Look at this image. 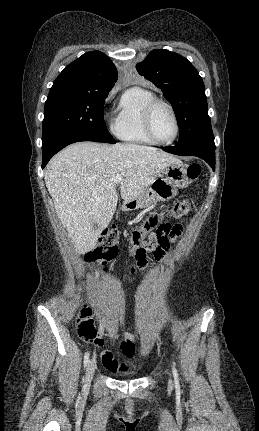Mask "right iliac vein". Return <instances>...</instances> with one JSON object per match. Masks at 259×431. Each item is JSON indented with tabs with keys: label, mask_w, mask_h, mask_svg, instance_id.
Returning a JSON list of instances; mask_svg holds the SVG:
<instances>
[{
	"label": "right iliac vein",
	"mask_w": 259,
	"mask_h": 431,
	"mask_svg": "<svg viewBox=\"0 0 259 431\" xmlns=\"http://www.w3.org/2000/svg\"><path fill=\"white\" fill-rule=\"evenodd\" d=\"M95 371V363L94 361H89L87 368H86V376H85V384L86 386H89L91 383V380L93 378Z\"/></svg>",
	"instance_id": "63e3f726"
}]
</instances>
